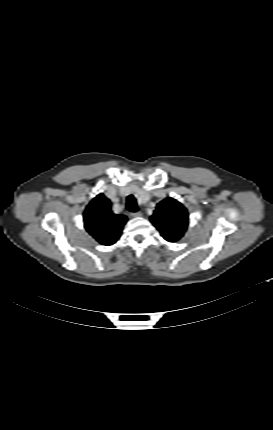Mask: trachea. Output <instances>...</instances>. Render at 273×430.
<instances>
[{
  "instance_id": "obj_1",
  "label": "trachea",
  "mask_w": 273,
  "mask_h": 430,
  "mask_svg": "<svg viewBox=\"0 0 273 430\" xmlns=\"http://www.w3.org/2000/svg\"><path fill=\"white\" fill-rule=\"evenodd\" d=\"M127 208L130 212H136L138 210L137 203L133 195L127 197Z\"/></svg>"
}]
</instances>
